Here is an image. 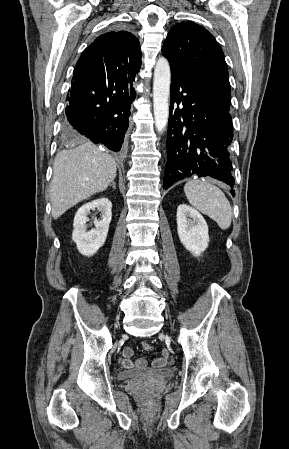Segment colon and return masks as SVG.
<instances>
[{
	"label": "colon",
	"mask_w": 289,
	"mask_h": 449,
	"mask_svg": "<svg viewBox=\"0 0 289 449\" xmlns=\"http://www.w3.org/2000/svg\"><path fill=\"white\" fill-rule=\"evenodd\" d=\"M142 347H143V349L145 350V351H151L153 348H152V345L150 344V343H148V342H143L142 343Z\"/></svg>",
	"instance_id": "1"
}]
</instances>
